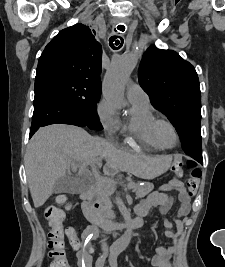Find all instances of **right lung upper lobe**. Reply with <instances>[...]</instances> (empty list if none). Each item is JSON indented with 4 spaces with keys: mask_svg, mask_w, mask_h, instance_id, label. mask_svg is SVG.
Masks as SVG:
<instances>
[{
    "mask_svg": "<svg viewBox=\"0 0 225 267\" xmlns=\"http://www.w3.org/2000/svg\"><path fill=\"white\" fill-rule=\"evenodd\" d=\"M101 61L102 48L91 30L75 24L61 30L47 44L38 61L36 81L61 75L101 87Z\"/></svg>",
    "mask_w": 225,
    "mask_h": 267,
    "instance_id": "1",
    "label": "right lung upper lobe"
}]
</instances>
